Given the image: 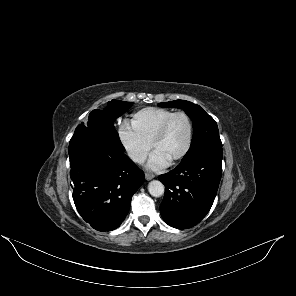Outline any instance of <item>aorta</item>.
<instances>
[{
  "instance_id": "aorta-1",
  "label": "aorta",
  "mask_w": 296,
  "mask_h": 296,
  "mask_svg": "<svg viewBox=\"0 0 296 296\" xmlns=\"http://www.w3.org/2000/svg\"><path fill=\"white\" fill-rule=\"evenodd\" d=\"M148 191L154 197H160L164 194V185L158 180H153L148 184Z\"/></svg>"
}]
</instances>
